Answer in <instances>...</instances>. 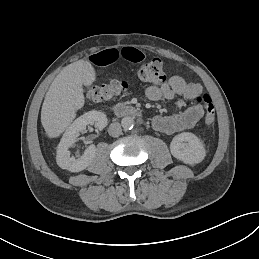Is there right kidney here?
<instances>
[{
	"label": "right kidney",
	"instance_id": "obj_1",
	"mask_svg": "<svg viewBox=\"0 0 259 259\" xmlns=\"http://www.w3.org/2000/svg\"><path fill=\"white\" fill-rule=\"evenodd\" d=\"M87 125H95L98 130H103L107 125V117L99 111H89L78 117L65 131L57 147L56 161L59 167L71 172H80L86 169L95 158L96 147L90 145L82 156L75 159L70 157L69 147L73 145L80 132L86 130Z\"/></svg>",
	"mask_w": 259,
	"mask_h": 259
}]
</instances>
